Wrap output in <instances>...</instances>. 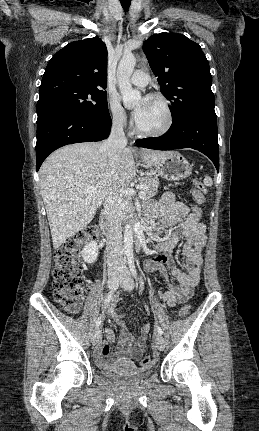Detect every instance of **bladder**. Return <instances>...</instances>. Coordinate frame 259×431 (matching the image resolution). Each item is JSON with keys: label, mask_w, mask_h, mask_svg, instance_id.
<instances>
[{"label": "bladder", "mask_w": 259, "mask_h": 431, "mask_svg": "<svg viewBox=\"0 0 259 431\" xmlns=\"http://www.w3.org/2000/svg\"><path fill=\"white\" fill-rule=\"evenodd\" d=\"M101 373L106 377L123 384H130L148 378L153 370L141 369L132 363H116L110 367L102 368Z\"/></svg>", "instance_id": "obj_1"}]
</instances>
